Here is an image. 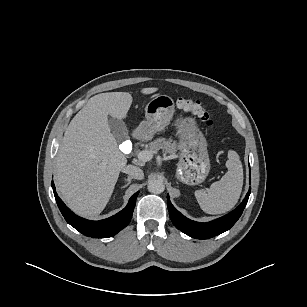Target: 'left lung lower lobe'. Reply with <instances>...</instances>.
I'll return each mask as SVG.
<instances>
[{
  "label": "left lung lower lobe",
  "mask_w": 307,
  "mask_h": 307,
  "mask_svg": "<svg viewBox=\"0 0 307 307\" xmlns=\"http://www.w3.org/2000/svg\"><path fill=\"white\" fill-rule=\"evenodd\" d=\"M249 195L250 190L246 194L245 199L235 210L223 217L207 223L195 222L183 216L171 204L169 195H167L168 211L174 225L183 233L193 238L207 239L229 230L236 223L246 206Z\"/></svg>",
  "instance_id": "0a47b994"
}]
</instances>
